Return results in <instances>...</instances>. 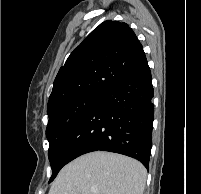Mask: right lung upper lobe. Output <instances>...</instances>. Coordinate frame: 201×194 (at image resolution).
Segmentation results:
<instances>
[{"label":"right lung upper lobe","mask_w":201,"mask_h":194,"mask_svg":"<svg viewBox=\"0 0 201 194\" xmlns=\"http://www.w3.org/2000/svg\"><path fill=\"white\" fill-rule=\"evenodd\" d=\"M146 59L143 47L126 23L107 20L93 30L60 68L47 112L89 95H102Z\"/></svg>","instance_id":"right-lung-upper-lobe-1"}]
</instances>
